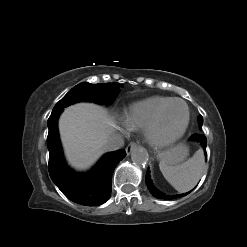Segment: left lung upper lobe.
Masks as SVG:
<instances>
[{"instance_id":"1","label":"left lung upper lobe","mask_w":247,"mask_h":247,"mask_svg":"<svg viewBox=\"0 0 247 247\" xmlns=\"http://www.w3.org/2000/svg\"><path fill=\"white\" fill-rule=\"evenodd\" d=\"M199 124H200V128H202L203 118L201 115L199 116Z\"/></svg>"}]
</instances>
